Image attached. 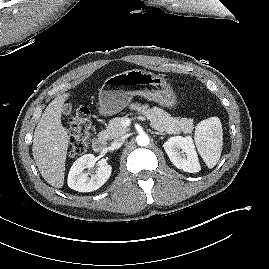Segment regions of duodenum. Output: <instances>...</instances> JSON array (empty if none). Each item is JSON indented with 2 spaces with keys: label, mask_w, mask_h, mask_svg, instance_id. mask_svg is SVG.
<instances>
[{
  "label": "duodenum",
  "mask_w": 269,
  "mask_h": 269,
  "mask_svg": "<svg viewBox=\"0 0 269 269\" xmlns=\"http://www.w3.org/2000/svg\"><path fill=\"white\" fill-rule=\"evenodd\" d=\"M106 139L104 137H99L93 142V150L96 152H102L106 148Z\"/></svg>",
  "instance_id": "obj_1"
}]
</instances>
